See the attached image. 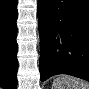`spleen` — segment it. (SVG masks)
<instances>
[{
  "label": "spleen",
  "instance_id": "obj_1",
  "mask_svg": "<svg viewBox=\"0 0 89 89\" xmlns=\"http://www.w3.org/2000/svg\"><path fill=\"white\" fill-rule=\"evenodd\" d=\"M52 89H89V84L73 76L59 75L53 81Z\"/></svg>",
  "mask_w": 89,
  "mask_h": 89
}]
</instances>
